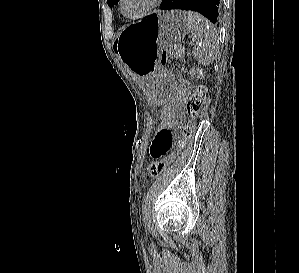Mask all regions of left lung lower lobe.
<instances>
[{
    "label": "left lung lower lobe",
    "instance_id": "obj_1",
    "mask_svg": "<svg viewBox=\"0 0 299 273\" xmlns=\"http://www.w3.org/2000/svg\"><path fill=\"white\" fill-rule=\"evenodd\" d=\"M162 10L182 9L197 11L216 23L220 15V0H163Z\"/></svg>",
    "mask_w": 299,
    "mask_h": 273
}]
</instances>
